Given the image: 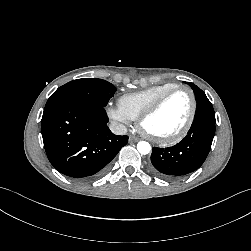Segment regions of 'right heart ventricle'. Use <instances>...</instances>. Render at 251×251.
<instances>
[{
    "label": "right heart ventricle",
    "mask_w": 251,
    "mask_h": 251,
    "mask_svg": "<svg viewBox=\"0 0 251 251\" xmlns=\"http://www.w3.org/2000/svg\"><path fill=\"white\" fill-rule=\"evenodd\" d=\"M175 86L174 83H164L142 91L124 94L119 98L118 106L131 120H136L162 94Z\"/></svg>",
    "instance_id": "e07e8e85"
}]
</instances>
